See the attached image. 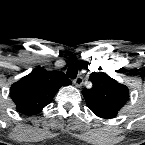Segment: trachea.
<instances>
[{"instance_id": "trachea-1", "label": "trachea", "mask_w": 145, "mask_h": 145, "mask_svg": "<svg viewBox=\"0 0 145 145\" xmlns=\"http://www.w3.org/2000/svg\"><path fill=\"white\" fill-rule=\"evenodd\" d=\"M78 74V69L75 65H70L67 69V77L70 79H75Z\"/></svg>"}]
</instances>
